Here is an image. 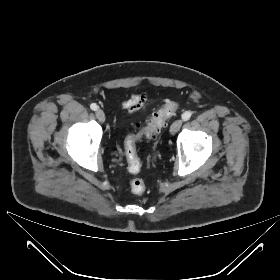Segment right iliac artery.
<instances>
[{"label": "right iliac artery", "mask_w": 280, "mask_h": 280, "mask_svg": "<svg viewBox=\"0 0 280 280\" xmlns=\"http://www.w3.org/2000/svg\"><path fill=\"white\" fill-rule=\"evenodd\" d=\"M90 108L92 109V110H97L98 109V106L95 104V103H92L91 105H90Z\"/></svg>", "instance_id": "1"}]
</instances>
